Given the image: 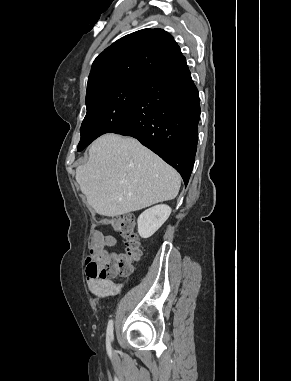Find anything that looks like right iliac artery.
<instances>
[{
    "instance_id": "1",
    "label": "right iliac artery",
    "mask_w": 291,
    "mask_h": 381,
    "mask_svg": "<svg viewBox=\"0 0 291 381\" xmlns=\"http://www.w3.org/2000/svg\"><path fill=\"white\" fill-rule=\"evenodd\" d=\"M109 340H113V321L110 320L107 326V345L110 346Z\"/></svg>"
}]
</instances>
